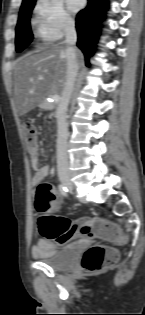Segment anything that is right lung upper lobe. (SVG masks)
I'll return each mask as SVG.
<instances>
[{
	"instance_id": "cb5924a9",
	"label": "right lung upper lobe",
	"mask_w": 145,
	"mask_h": 315,
	"mask_svg": "<svg viewBox=\"0 0 145 315\" xmlns=\"http://www.w3.org/2000/svg\"><path fill=\"white\" fill-rule=\"evenodd\" d=\"M33 1H36V0H23L22 6L27 5Z\"/></svg>"
}]
</instances>
